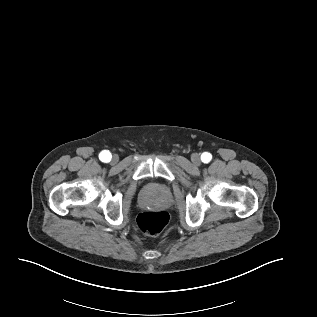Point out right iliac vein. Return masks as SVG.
<instances>
[{
	"label": "right iliac vein",
	"mask_w": 317,
	"mask_h": 317,
	"mask_svg": "<svg viewBox=\"0 0 317 317\" xmlns=\"http://www.w3.org/2000/svg\"><path fill=\"white\" fill-rule=\"evenodd\" d=\"M117 161H118V156H116V155L113 156L111 162H112V163H117Z\"/></svg>",
	"instance_id": "1"
}]
</instances>
